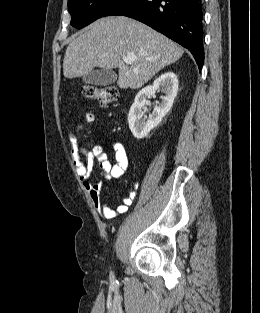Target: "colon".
I'll list each match as a JSON object with an SVG mask.
<instances>
[{"mask_svg": "<svg viewBox=\"0 0 260 313\" xmlns=\"http://www.w3.org/2000/svg\"><path fill=\"white\" fill-rule=\"evenodd\" d=\"M82 91L87 98L96 101L101 106H108L118 99V90L113 86L87 85L83 87ZM91 119V114H87L84 117L85 121H90ZM90 154L98 160L101 155L100 148L94 147Z\"/></svg>", "mask_w": 260, "mask_h": 313, "instance_id": "colon-1", "label": "colon"}]
</instances>
